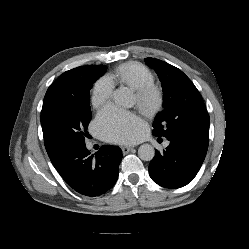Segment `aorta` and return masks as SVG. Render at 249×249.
I'll list each match as a JSON object with an SVG mask.
<instances>
[{
    "mask_svg": "<svg viewBox=\"0 0 249 249\" xmlns=\"http://www.w3.org/2000/svg\"><path fill=\"white\" fill-rule=\"evenodd\" d=\"M116 103L122 106H131L132 98L128 89L120 87L113 93ZM155 150L150 144H142L138 149V156L143 161H151L154 158Z\"/></svg>",
    "mask_w": 249,
    "mask_h": 249,
    "instance_id": "762f6f07",
    "label": "aorta"
}]
</instances>
